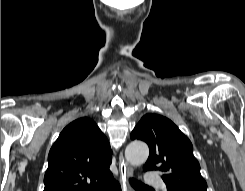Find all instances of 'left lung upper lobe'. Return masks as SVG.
<instances>
[{"label": "left lung upper lobe", "instance_id": "5c2ea615", "mask_svg": "<svg viewBox=\"0 0 245 191\" xmlns=\"http://www.w3.org/2000/svg\"><path fill=\"white\" fill-rule=\"evenodd\" d=\"M132 140L145 141L150 149L143 170H159L167 191H207L191 141L168 118L146 114L131 132Z\"/></svg>", "mask_w": 245, "mask_h": 191}]
</instances>
